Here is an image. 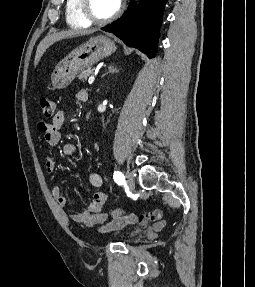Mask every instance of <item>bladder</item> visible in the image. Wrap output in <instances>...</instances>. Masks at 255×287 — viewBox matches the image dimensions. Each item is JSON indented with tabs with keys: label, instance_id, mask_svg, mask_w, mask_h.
I'll return each instance as SVG.
<instances>
[{
	"label": "bladder",
	"instance_id": "obj_1",
	"mask_svg": "<svg viewBox=\"0 0 255 287\" xmlns=\"http://www.w3.org/2000/svg\"><path fill=\"white\" fill-rule=\"evenodd\" d=\"M137 234H138V229L135 227H130V228H126L122 232V237L124 239H131V238H134Z\"/></svg>",
	"mask_w": 255,
	"mask_h": 287
}]
</instances>
